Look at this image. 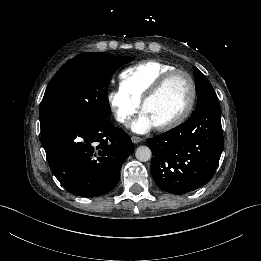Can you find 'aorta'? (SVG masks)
Returning a JSON list of instances; mask_svg holds the SVG:
<instances>
[{
	"mask_svg": "<svg viewBox=\"0 0 261 261\" xmlns=\"http://www.w3.org/2000/svg\"><path fill=\"white\" fill-rule=\"evenodd\" d=\"M152 152L147 146H139L135 151V157L140 162H147L151 159Z\"/></svg>",
	"mask_w": 261,
	"mask_h": 261,
	"instance_id": "1",
	"label": "aorta"
}]
</instances>
